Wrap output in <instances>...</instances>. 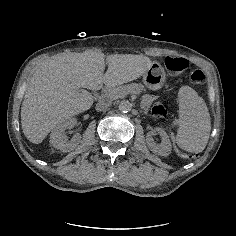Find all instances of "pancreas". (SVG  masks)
<instances>
[{"label":"pancreas","mask_w":236,"mask_h":236,"mask_svg":"<svg viewBox=\"0 0 236 236\" xmlns=\"http://www.w3.org/2000/svg\"><path fill=\"white\" fill-rule=\"evenodd\" d=\"M143 88L144 86L139 83L125 84V85L120 86L118 89L115 88V89L108 90L104 94L103 98L104 100H107V101H113L117 99L118 96H124L126 94H130L133 92L141 93L143 91Z\"/></svg>","instance_id":"1"}]
</instances>
